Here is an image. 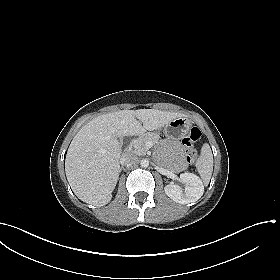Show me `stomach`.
Here are the masks:
<instances>
[{
  "label": "stomach",
  "instance_id": "obj_1",
  "mask_svg": "<svg viewBox=\"0 0 280 280\" xmlns=\"http://www.w3.org/2000/svg\"><path fill=\"white\" fill-rule=\"evenodd\" d=\"M191 122L186 117H178L169 121L164 127V134L173 139H180L189 131Z\"/></svg>",
  "mask_w": 280,
  "mask_h": 280
}]
</instances>
